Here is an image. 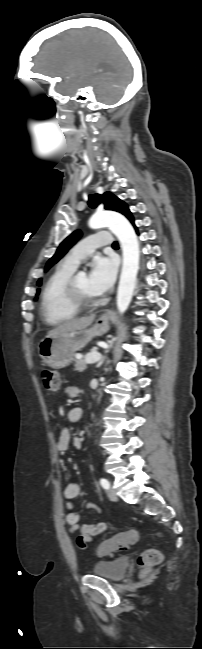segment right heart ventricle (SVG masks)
I'll return each mask as SVG.
<instances>
[{
    "label": "right heart ventricle",
    "mask_w": 202,
    "mask_h": 649,
    "mask_svg": "<svg viewBox=\"0 0 202 649\" xmlns=\"http://www.w3.org/2000/svg\"><path fill=\"white\" fill-rule=\"evenodd\" d=\"M75 268L61 263L48 278L41 297L42 315L51 325H57L76 317L79 313L68 299L66 286Z\"/></svg>",
    "instance_id": "e07e8e85"
}]
</instances>
